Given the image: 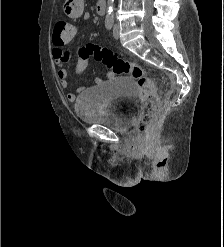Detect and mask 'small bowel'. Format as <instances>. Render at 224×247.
I'll list each match as a JSON object with an SVG mask.
<instances>
[{
	"instance_id": "small-bowel-1",
	"label": "small bowel",
	"mask_w": 224,
	"mask_h": 247,
	"mask_svg": "<svg viewBox=\"0 0 224 247\" xmlns=\"http://www.w3.org/2000/svg\"><path fill=\"white\" fill-rule=\"evenodd\" d=\"M65 13L72 18H82L84 21H88L91 18L89 12L84 11L83 0H66L64 3ZM68 42H61L53 39L54 48L52 51L53 59L59 65L57 76L59 79L60 86L64 89L68 88V73L67 70L63 67V64L66 63L69 59V53L64 50L65 44ZM82 47L79 46L78 49ZM67 100L74 102L76 96L72 93L67 94Z\"/></svg>"
}]
</instances>
